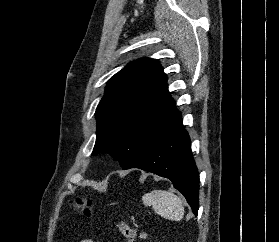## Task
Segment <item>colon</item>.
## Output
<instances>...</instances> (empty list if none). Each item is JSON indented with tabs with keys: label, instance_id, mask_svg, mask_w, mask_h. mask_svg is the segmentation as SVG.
<instances>
[{
	"label": "colon",
	"instance_id": "1",
	"mask_svg": "<svg viewBox=\"0 0 279 242\" xmlns=\"http://www.w3.org/2000/svg\"><path fill=\"white\" fill-rule=\"evenodd\" d=\"M70 205L74 209L82 211L85 216H90L92 213L91 201L82 197H76L75 199L71 200ZM111 224L124 238L127 239L128 242H134L136 238V230L133 227L122 221H111Z\"/></svg>",
	"mask_w": 279,
	"mask_h": 242
}]
</instances>
